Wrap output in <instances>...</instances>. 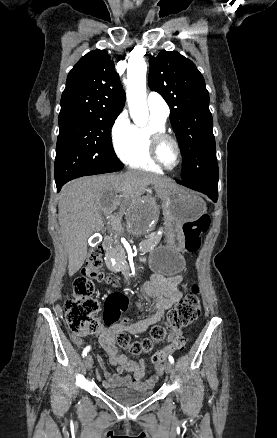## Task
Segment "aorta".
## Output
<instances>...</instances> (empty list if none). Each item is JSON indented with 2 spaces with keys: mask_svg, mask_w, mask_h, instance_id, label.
<instances>
[{
  "mask_svg": "<svg viewBox=\"0 0 277 438\" xmlns=\"http://www.w3.org/2000/svg\"><path fill=\"white\" fill-rule=\"evenodd\" d=\"M146 72L147 65L142 57H133L127 67V100L130 115L134 123L144 126L148 120L146 102ZM156 206L152 201L139 204L130 217V228L134 235L144 234L156 220Z\"/></svg>",
  "mask_w": 277,
  "mask_h": 438,
  "instance_id": "obj_1",
  "label": "aorta"
}]
</instances>
